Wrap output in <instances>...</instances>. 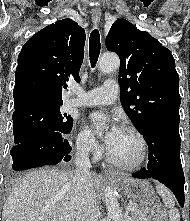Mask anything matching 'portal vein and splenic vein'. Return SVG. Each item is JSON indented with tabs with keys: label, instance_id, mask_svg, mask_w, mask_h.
I'll list each match as a JSON object with an SVG mask.
<instances>
[{
	"label": "portal vein and splenic vein",
	"instance_id": "1",
	"mask_svg": "<svg viewBox=\"0 0 190 221\" xmlns=\"http://www.w3.org/2000/svg\"><path fill=\"white\" fill-rule=\"evenodd\" d=\"M127 209H128L129 211H133V210H135V206H133V205H128V206H127Z\"/></svg>",
	"mask_w": 190,
	"mask_h": 221
}]
</instances>
